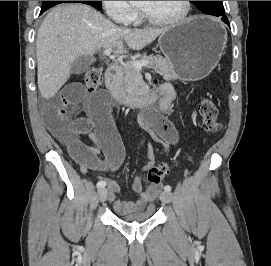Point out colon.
Listing matches in <instances>:
<instances>
[{"mask_svg": "<svg viewBox=\"0 0 271 266\" xmlns=\"http://www.w3.org/2000/svg\"><path fill=\"white\" fill-rule=\"evenodd\" d=\"M84 84L89 92L97 90L102 84V70L98 66L91 67L85 74ZM199 113L203 118L205 128L210 133H216L221 129L218 121V109L210 96H203L199 103ZM169 173L167 164L152 165L147 170V178L151 184H160Z\"/></svg>", "mask_w": 271, "mask_h": 266, "instance_id": "5ec220e1", "label": "colon"}]
</instances>
